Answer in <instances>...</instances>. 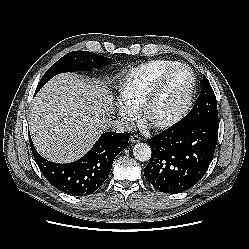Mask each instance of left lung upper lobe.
<instances>
[{"label":"left lung upper lobe","mask_w":249,"mask_h":249,"mask_svg":"<svg viewBox=\"0 0 249 249\" xmlns=\"http://www.w3.org/2000/svg\"><path fill=\"white\" fill-rule=\"evenodd\" d=\"M187 120H207L219 122L217 101L213 89L204 76L202 79V89L192 110L185 116Z\"/></svg>","instance_id":"1"}]
</instances>
